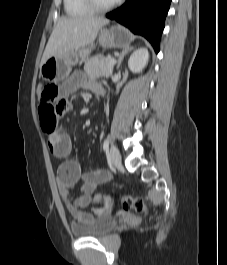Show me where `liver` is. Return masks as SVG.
<instances>
[{"instance_id":"liver-1","label":"liver","mask_w":227,"mask_h":265,"mask_svg":"<svg viewBox=\"0 0 227 265\" xmlns=\"http://www.w3.org/2000/svg\"><path fill=\"white\" fill-rule=\"evenodd\" d=\"M108 19L89 15L61 17L46 45L40 67L52 56L93 45L99 30Z\"/></svg>"}]
</instances>
